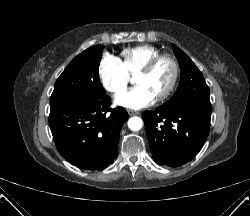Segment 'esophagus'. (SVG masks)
<instances>
[{
	"label": "esophagus",
	"mask_w": 250,
	"mask_h": 216,
	"mask_svg": "<svg viewBox=\"0 0 250 216\" xmlns=\"http://www.w3.org/2000/svg\"><path fill=\"white\" fill-rule=\"evenodd\" d=\"M128 114L131 116V115H136V114H139L138 111H134V110H131V109H128L127 110Z\"/></svg>",
	"instance_id": "34e87169"
}]
</instances>
